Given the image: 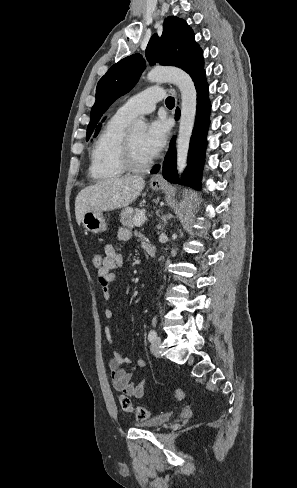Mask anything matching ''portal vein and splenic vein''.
<instances>
[{
    "mask_svg": "<svg viewBox=\"0 0 297 488\" xmlns=\"http://www.w3.org/2000/svg\"><path fill=\"white\" fill-rule=\"evenodd\" d=\"M133 209H129V211H132ZM146 220V216H145V210L142 209L140 210L139 214L135 215V218H134V223L136 226L140 227L142 226V224H144Z\"/></svg>",
    "mask_w": 297,
    "mask_h": 488,
    "instance_id": "portal-vein-and-splenic-vein-1",
    "label": "portal vein and splenic vein"
}]
</instances>
